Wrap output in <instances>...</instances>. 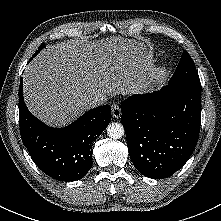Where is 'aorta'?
Returning <instances> with one entry per match:
<instances>
[{
    "mask_svg": "<svg viewBox=\"0 0 221 221\" xmlns=\"http://www.w3.org/2000/svg\"><path fill=\"white\" fill-rule=\"evenodd\" d=\"M107 135L112 139H120L124 135V128L120 123L112 122L107 127Z\"/></svg>",
    "mask_w": 221,
    "mask_h": 221,
    "instance_id": "1",
    "label": "aorta"
}]
</instances>
